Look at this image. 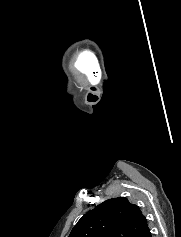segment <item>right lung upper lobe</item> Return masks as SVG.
Wrapping results in <instances>:
<instances>
[{
	"label": "right lung upper lobe",
	"instance_id": "obj_1",
	"mask_svg": "<svg viewBox=\"0 0 181 237\" xmlns=\"http://www.w3.org/2000/svg\"><path fill=\"white\" fill-rule=\"evenodd\" d=\"M68 237H151V233L139 207L118 197L87 212Z\"/></svg>",
	"mask_w": 181,
	"mask_h": 237
}]
</instances>
